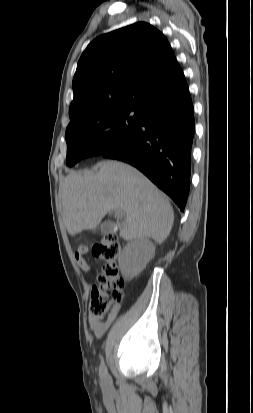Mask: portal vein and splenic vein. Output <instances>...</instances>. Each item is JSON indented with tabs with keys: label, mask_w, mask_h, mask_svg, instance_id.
Wrapping results in <instances>:
<instances>
[{
	"label": "portal vein and splenic vein",
	"mask_w": 253,
	"mask_h": 413,
	"mask_svg": "<svg viewBox=\"0 0 253 413\" xmlns=\"http://www.w3.org/2000/svg\"><path fill=\"white\" fill-rule=\"evenodd\" d=\"M116 214H117L118 216H120V215H122V212H121L120 210H117V211H116Z\"/></svg>",
	"instance_id": "obj_1"
}]
</instances>
